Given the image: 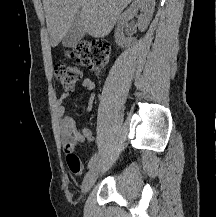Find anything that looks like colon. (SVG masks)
Listing matches in <instances>:
<instances>
[{"mask_svg":"<svg viewBox=\"0 0 216 217\" xmlns=\"http://www.w3.org/2000/svg\"><path fill=\"white\" fill-rule=\"evenodd\" d=\"M67 55L74 59L77 65L58 63L54 66V76L66 89H71L80 79L82 67L95 74L102 72L109 60L110 44L104 40L81 41L76 43ZM67 163L74 173L81 172L80 159L73 151L67 153Z\"/></svg>","mask_w":216,"mask_h":217,"instance_id":"5ec220e1","label":"colon"}]
</instances>
